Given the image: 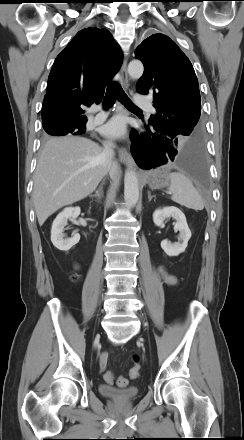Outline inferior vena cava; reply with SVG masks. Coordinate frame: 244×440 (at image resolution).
Segmentation results:
<instances>
[{"label":"inferior vena cava","instance_id":"1","mask_svg":"<svg viewBox=\"0 0 244 440\" xmlns=\"http://www.w3.org/2000/svg\"><path fill=\"white\" fill-rule=\"evenodd\" d=\"M113 148H114V144L111 141H107L104 143L102 157H103L104 166H105L107 172L109 171V169L112 165V160L114 158Z\"/></svg>","mask_w":244,"mask_h":440}]
</instances>
